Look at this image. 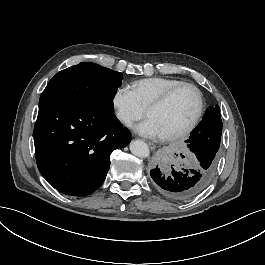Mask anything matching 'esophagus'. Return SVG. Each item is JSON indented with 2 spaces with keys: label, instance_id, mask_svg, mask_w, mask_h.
Returning <instances> with one entry per match:
<instances>
[{
  "label": "esophagus",
  "instance_id": "1",
  "mask_svg": "<svg viewBox=\"0 0 265 265\" xmlns=\"http://www.w3.org/2000/svg\"><path fill=\"white\" fill-rule=\"evenodd\" d=\"M146 143L148 144L149 148H150L152 151L156 149V145H155L154 143L149 142V141H147Z\"/></svg>",
  "mask_w": 265,
  "mask_h": 265
}]
</instances>
